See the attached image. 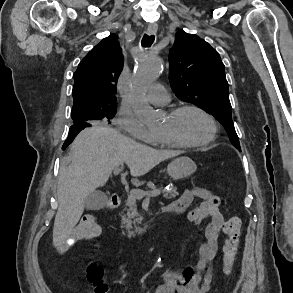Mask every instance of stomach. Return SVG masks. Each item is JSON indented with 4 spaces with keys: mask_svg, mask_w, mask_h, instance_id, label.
I'll return each mask as SVG.
<instances>
[{
    "mask_svg": "<svg viewBox=\"0 0 293 293\" xmlns=\"http://www.w3.org/2000/svg\"><path fill=\"white\" fill-rule=\"evenodd\" d=\"M197 169L195 162L186 156L174 159L167 167V173L173 180H182L191 176Z\"/></svg>",
    "mask_w": 293,
    "mask_h": 293,
    "instance_id": "stomach-1",
    "label": "stomach"
}]
</instances>
